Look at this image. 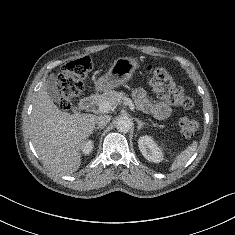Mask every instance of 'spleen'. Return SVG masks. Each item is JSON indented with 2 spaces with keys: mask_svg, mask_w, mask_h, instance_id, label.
<instances>
[{
  "mask_svg": "<svg viewBox=\"0 0 235 235\" xmlns=\"http://www.w3.org/2000/svg\"><path fill=\"white\" fill-rule=\"evenodd\" d=\"M198 143L197 141H193L184 151L176 156L175 161L170 167V170L178 169L179 167L183 166L195 153L197 149Z\"/></svg>",
  "mask_w": 235,
  "mask_h": 235,
  "instance_id": "obj_1",
  "label": "spleen"
}]
</instances>
